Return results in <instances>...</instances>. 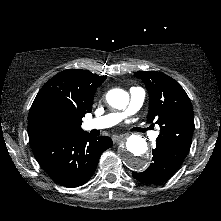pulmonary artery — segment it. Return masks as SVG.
<instances>
[{"mask_svg": "<svg viewBox=\"0 0 221 221\" xmlns=\"http://www.w3.org/2000/svg\"><path fill=\"white\" fill-rule=\"evenodd\" d=\"M145 98V91L140 87H133L130 89V102L124 112L110 113L92 120L85 122L86 129H104L114 126L121 122L123 119L135 114L142 106ZM145 129V132L148 129ZM153 138L157 136L156 133L152 134Z\"/></svg>", "mask_w": 221, "mask_h": 221, "instance_id": "1", "label": "pulmonary artery"}]
</instances>
